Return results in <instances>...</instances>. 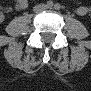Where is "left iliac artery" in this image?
Masks as SVG:
<instances>
[{
	"instance_id": "left-iliac-artery-1",
	"label": "left iliac artery",
	"mask_w": 91,
	"mask_h": 91,
	"mask_svg": "<svg viewBox=\"0 0 91 91\" xmlns=\"http://www.w3.org/2000/svg\"><path fill=\"white\" fill-rule=\"evenodd\" d=\"M55 9H59V5L58 4L55 5Z\"/></svg>"
}]
</instances>
